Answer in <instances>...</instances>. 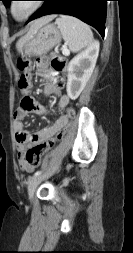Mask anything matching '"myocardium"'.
<instances>
[{
    "mask_svg": "<svg viewBox=\"0 0 133 253\" xmlns=\"http://www.w3.org/2000/svg\"><path fill=\"white\" fill-rule=\"evenodd\" d=\"M16 1H12L10 3V6H9V9H10V13L12 15V17L16 20V21H25L27 19H29L31 16H33L42 6V2L41 0H35V1H32L33 2V6L31 7V9L22 17H18L16 14H15V11H14V4H15Z\"/></svg>",
    "mask_w": 133,
    "mask_h": 253,
    "instance_id": "obj_1",
    "label": "myocardium"
}]
</instances>
